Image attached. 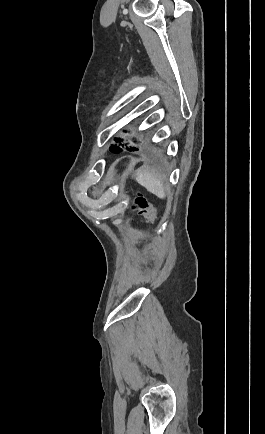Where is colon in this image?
<instances>
[{"label":"colon","mask_w":265,"mask_h":434,"mask_svg":"<svg viewBox=\"0 0 265 434\" xmlns=\"http://www.w3.org/2000/svg\"><path fill=\"white\" fill-rule=\"evenodd\" d=\"M131 210L135 212H142L143 215L150 221H155L157 218V212L152 207L149 199L143 195H137L131 205Z\"/></svg>","instance_id":"5ec220e1"}]
</instances>
